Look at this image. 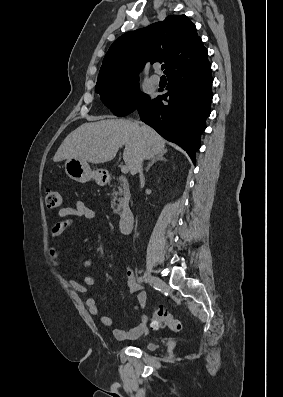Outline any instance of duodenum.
Masks as SVG:
<instances>
[{
    "instance_id": "410a0bca",
    "label": "duodenum",
    "mask_w": 283,
    "mask_h": 397,
    "mask_svg": "<svg viewBox=\"0 0 283 397\" xmlns=\"http://www.w3.org/2000/svg\"><path fill=\"white\" fill-rule=\"evenodd\" d=\"M134 214L129 208L124 209L119 217V230L122 234H129L133 228Z\"/></svg>"
}]
</instances>
